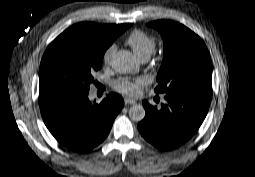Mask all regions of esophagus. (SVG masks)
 Masks as SVG:
<instances>
[{"instance_id": "1", "label": "esophagus", "mask_w": 255, "mask_h": 177, "mask_svg": "<svg viewBox=\"0 0 255 177\" xmlns=\"http://www.w3.org/2000/svg\"><path fill=\"white\" fill-rule=\"evenodd\" d=\"M124 102H125V104L127 105V104H135L136 103V101L135 100H133V99H131V98H125L124 99Z\"/></svg>"}]
</instances>
